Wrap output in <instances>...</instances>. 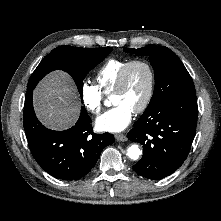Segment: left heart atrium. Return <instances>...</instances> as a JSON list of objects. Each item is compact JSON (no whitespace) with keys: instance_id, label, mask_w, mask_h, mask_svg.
<instances>
[{"instance_id":"left-heart-atrium-1","label":"left heart atrium","mask_w":221,"mask_h":221,"mask_svg":"<svg viewBox=\"0 0 221 221\" xmlns=\"http://www.w3.org/2000/svg\"><path fill=\"white\" fill-rule=\"evenodd\" d=\"M133 111L124 104H117L96 119V126L105 132H120L132 120Z\"/></svg>"}]
</instances>
